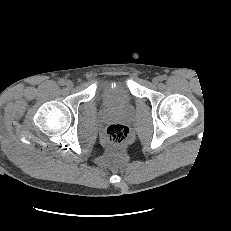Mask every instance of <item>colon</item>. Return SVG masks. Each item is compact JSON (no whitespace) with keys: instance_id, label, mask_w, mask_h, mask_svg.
Instances as JSON below:
<instances>
[{"instance_id":"1","label":"colon","mask_w":231,"mask_h":231,"mask_svg":"<svg viewBox=\"0 0 231 231\" xmlns=\"http://www.w3.org/2000/svg\"><path fill=\"white\" fill-rule=\"evenodd\" d=\"M109 143L115 146L124 144L129 137V128L124 124H112L106 131Z\"/></svg>"}]
</instances>
